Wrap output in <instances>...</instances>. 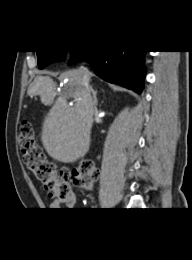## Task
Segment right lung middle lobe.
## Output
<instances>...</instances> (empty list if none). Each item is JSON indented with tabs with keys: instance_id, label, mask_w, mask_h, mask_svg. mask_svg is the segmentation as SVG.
<instances>
[{
	"instance_id": "right-lung-middle-lobe-1",
	"label": "right lung middle lobe",
	"mask_w": 192,
	"mask_h": 260,
	"mask_svg": "<svg viewBox=\"0 0 192 260\" xmlns=\"http://www.w3.org/2000/svg\"><path fill=\"white\" fill-rule=\"evenodd\" d=\"M74 53V51H72ZM38 66L40 69L45 68L47 65L64 60V51H37Z\"/></svg>"
}]
</instances>
